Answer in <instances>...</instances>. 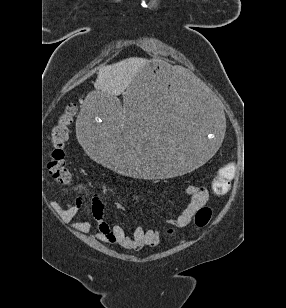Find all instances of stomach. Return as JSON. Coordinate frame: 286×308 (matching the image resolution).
Wrapping results in <instances>:
<instances>
[{
	"label": "stomach",
	"mask_w": 286,
	"mask_h": 308,
	"mask_svg": "<svg viewBox=\"0 0 286 308\" xmlns=\"http://www.w3.org/2000/svg\"><path fill=\"white\" fill-rule=\"evenodd\" d=\"M124 103L89 89L77 109L78 141L87 156L132 182H166L203 168L224 144L225 112L212 91L184 81L166 60H143Z\"/></svg>",
	"instance_id": "0dacf381"
}]
</instances>
